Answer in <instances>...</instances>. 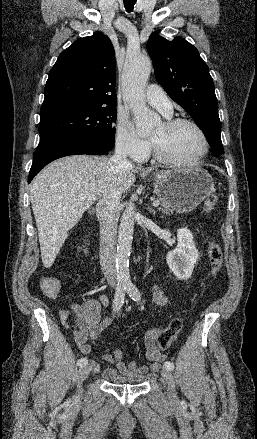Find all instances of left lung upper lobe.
<instances>
[{
  "label": "left lung upper lobe",
  "instance_id": "obj_1",
  "mask_svg": "<svg viewBox=\"0 0 257 439\" xmlns=\"http://www.w3.org/2000/svg\"><path fill=\"white\" fill-rule=\"evenodd\" d=\"M147 51L155 77L204 133L215 157L224 154L214 83L198 50L181 37L169 41L152 33Z\"/></svg>",
  "mask_w": 257,
  "mask_h": 439
}]
</instances>
